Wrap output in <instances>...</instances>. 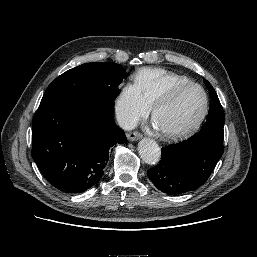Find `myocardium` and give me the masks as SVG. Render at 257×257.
Listing matches in <instances>:
<instances>
[{
	"instance_id": "obj_1",
	"label": "myocardium",
	"mask_w": 257,
	"mask_h": 257,
	"mask_svg": "<svg viewBox=\"0 0 257 257\" xmlns=\"http://www.w3.org/2000/svg\"><path fill=\"white\" fill-rule=\"evenodd\" d=\"M193 87L198 88L202 92L203 97H204V105H203V109H202L201 113L199 114L198 118L191 125H189L187 127L175 129V130H166V129L162 128V133L167 138L180 139V138L186 137V136L192 134L193 132H195L200 127V125L203 123L204 119L206 118V116L208 114L209 104H210L209 96L203 86H201L198 83L188 82V83L174 86L169 91H167L164 95L159 97L156 100V102L153 104L152 117H153L154 121L158 124V120H157L158 110L162 106L172 102L180 92H182L188 88H193Z\"/></svg>"
}]
</instances>
